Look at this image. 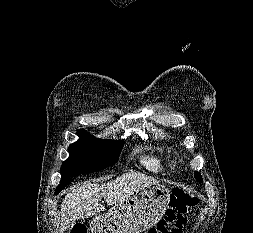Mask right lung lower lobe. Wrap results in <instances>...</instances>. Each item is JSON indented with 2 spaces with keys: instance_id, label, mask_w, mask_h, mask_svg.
<instances>
[{
  "instance_id": "1",
  "label": "right lung lower lobe",
  "mask_w": 253,
  "mask_h": 233,
  "mask_svg": "<svg viewBox=\"0 0 253 233\" xmlns=\"http://www.w3.org/2000/svg\"><path fill=\"white\" fill-rule=\"evenodd\" d=\"M71 180V178H69L68 180L61 182L60 185H58V187L56 188L55 194L60 193L61 190H63V188L69 183V181Z\"/></svg>"
}]
</instances>
